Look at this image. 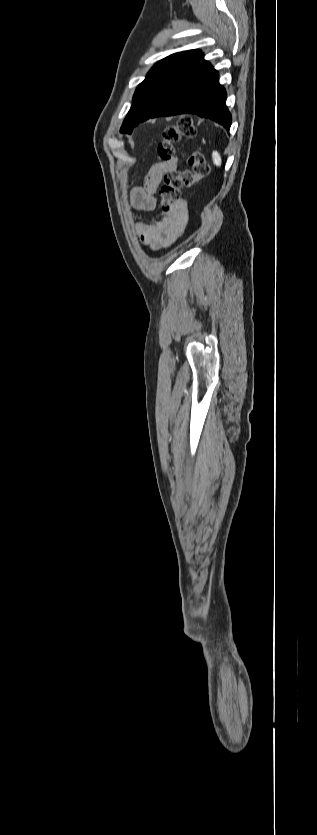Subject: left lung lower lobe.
<instances>
[{
  "label": "left lung lower lobe",
  "mask_w": 317,
  "mask_h": 835,
  "mask_svg": "<svg viewBox=\"0 0 317 835\" xmlns=\"http://www.w3.org/2000/svg\"><path fill=\"white\" fill-rule=\"evenodd\" d=\"M200 54L181 75L167 99L150 118L194 114L230 129L232 117L218 72Z\"/></svg>",
  "instance_id": "1"
}]
</instances>
